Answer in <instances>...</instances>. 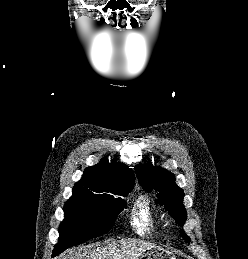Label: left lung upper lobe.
<instances>
[{
	"label": "left lung upper lobe",
	"instance_id": "obj_1",
	"mask_svg": "<svg viewBox=\"0 0 248 259\" xmlns=\"http://www.w3.org/2000/svg\"><path fill=\"white\" fill-rule=\"evenodd\" d=\"M135 172L140 185L146 191L150 192L154 189L159 192L156 203L163 204L169 214L182 226L186 219V210L183 205L184 193L175 184L174 174L151 164H139L135 167ZM181 235L186 242H190V239L183 231H181Z\"/></svg>",
	"mask_w": 248,
	"mask_h": 259
}]
</instances>
